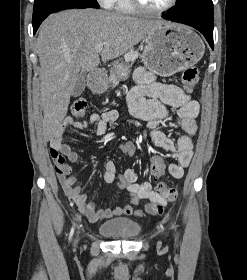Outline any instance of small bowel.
Masks as SVG:
<instances>
[{"label":"small bowel","instance_id":"c3829d8e","mask_svg":"<svg viewBox=\"0 0 247 280\" xmlns=\"http://www.w3.org/2000/svg\"><path fill=\"white\" fill-rule=\"evenodd\" d=\"M134 78L136 86L127 94V102L130 114L134 119L128 120L130 124L139 125L140 121L147 122L152 132L151 141L166 151H170L173 161L168 166L170 175L174 178H181L184 169L189 166L193 156V136L197 131L196 117L199 113V104L187 95L180 87L173 84H164L156 80V77L144 68L135 71ZM168 107L174 109L177 115V126L184 132L175 143L164 133L155 131L158 122L169 114ZM119 113L110 110L102 113H93L87 120H74L72 117H65L53 132L50 139L51 152L58 153L69 162H77L80 158L78 152L74 151L69 144L63 140V136L72 126L76 129H87L95 125L96 134L104 135L110 123L120 120ZM122 176L131 181L127 190L129 193V204L110 208H97L88 202L87 196L81 193L79 180L68 175H59L61 186L79 211L90 221H98L119 216L142 217L144 214H160L166 206L167 201L163 196L152 188L148 181L138 182L136 172L128 169ZM116 178V167L113 162H106L104 165V180L111 183ZM142 200H148L144 210L135 209Z\"/></svg>","mask_w":247,"mask_h":280}]
</instances>
